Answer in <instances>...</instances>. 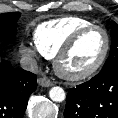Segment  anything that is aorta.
I'll return each instance as SVG.
<instances>
[{"instance_id":"aorta-1","label":"aorta","mask_w":118,"mask_h":118,"mask_svg":"<svg viewBox=\"0 0 118 118\" xmlns=\"http://www.w3.org/2000/svg\"><path fill=\"white\" fill-rule=\"evenodd\" d=\"M49 97L54 102H62L65 99V91L59 86L52 87L49 91Z\"/></svg>"}]
</instances>
